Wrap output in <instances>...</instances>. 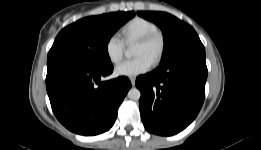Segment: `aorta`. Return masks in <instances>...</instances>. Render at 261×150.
<instances>
[{
    "mask_svg": "<svg viewBox=\"0 0 261 150\" xmlns=\"http://www.w3.org/2000/svg\"><path fill=\"white\" fill-rule=\"evenodd\" d=\"M135 54V48L134 47H130L128 48L126 51H125V55L126 56H132ZM128 98L130 100H133V101H137L140 99L141 97V93L140 91L137 89V88H131L127 94Z\"/></svg>",
    "mask_w": 261,
    "mask_h": 150,
    "instance_id": "aorta-1",
    "label": "aorta"
}]
</instances>
